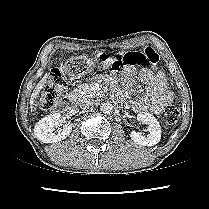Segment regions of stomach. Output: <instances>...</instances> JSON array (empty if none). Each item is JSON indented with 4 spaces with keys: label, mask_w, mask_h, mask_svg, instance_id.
<instances>
[{
    "label": "stomach",
    "mask_w": 209,
    "mask_h": 209,
    "mask_svg": "<svg viewBox=\"0 0 209 209\" xmlns=\"http://www.w3.org/2000/svg\"><path fill=\"white\" fill-rule=\"evenodd\" d=\"M95 64L92 59L88 57L70 58L66 60L62 66V71L65 76L69 78L74 77H88L93 74Z\"/></svg>",
    "instance_id": "0dacf381"
}]
</instances>
